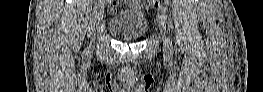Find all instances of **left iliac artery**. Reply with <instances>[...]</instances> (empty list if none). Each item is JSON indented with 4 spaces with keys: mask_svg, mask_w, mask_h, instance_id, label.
I'll return each instance as SVG.
<instances>
[{
    "mask_svg": "<svg viewBox=\"0 0 263 92\" xmlns=\"http://www.w3.org/2000/svg\"><path fill=\"white\" fill-rule=\"evenodd\" d=\"M158 9H159L160 15L163 16V21H168L169 15L165 9V1H159ZM169 43L172 46V41L169 40Z\"/></svg>",
    "mask_w": 263,
    "mask_h": 92,
    "instance_id": "44dca946",
    "label": "left iliac artery"
}]
</instances>
